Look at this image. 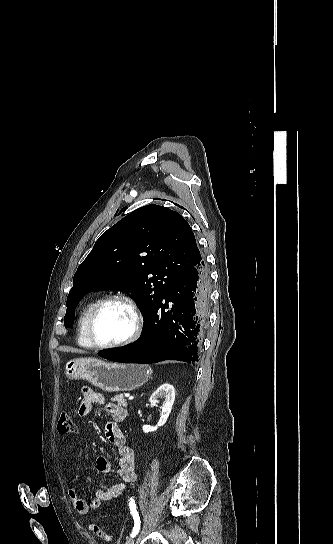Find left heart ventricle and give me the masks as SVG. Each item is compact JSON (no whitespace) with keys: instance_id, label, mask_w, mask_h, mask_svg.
Returning <instances> with one entry per match:
<instances>
[{"instance_id":"obj_1","label":"left heart ventricle","mask_w":333,"mask_h":544,"mask_svg":"<svg viewBox=\"0 0 333 544\" xmlns=\"http://www.w3.org/2000/svg\"><path fill=\"white\" fill-rule=\"evenodd\" d=\"M134 328V316L123 302L107 304L94 324V335L98 342L108 344L127 338Z\"/></svg>"}]
</instances>
